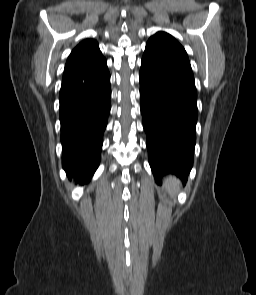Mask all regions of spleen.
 Listing matches in <instances>:
<instances>
[{
    "label": "spleen",
    "mask_w": 256,
    "mask_h": 295,
    "mask_svg": "<svg viewBox=\"0 0 256 295\" xmlns=\"http://www.w3.org/2000/svg\"><path fill=\"white\" fill-rule=\"evenodd\" d=\"M178 187V181L175 178H169L167 183V190L171 195H174Z\"/></svg>",
    "instance_id": "3e777b00"
}]
</instances>
